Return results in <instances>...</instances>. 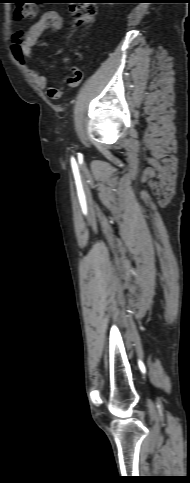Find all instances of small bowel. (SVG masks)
<instances>
[{
	"instance_id": "obj_1",
	"label": "small bowel",
	"mask_w": 190,
	"mask_h": 483,
	"mask_svg": "<svg viewBox=\"0 0 190 483\" xmlns=\"http://www.w3.org/2000/svg\"><path fill=\"white\" fill-rule=\"evenodd\" d=\"M63 27V19L56 11L44 12L29 28L25 31L16 30L10 40V51L20 65H25L26 61L31 58L32 49L36 46L38 39L46 30L59 31ZM72 85H76L81 81L82 73L77 68H72ZM29 73L38 88L45 89L50 98L57 99L61 95V89L57 86H49L45 75L33 70Z\"/></svg>"
}]
</instances>
